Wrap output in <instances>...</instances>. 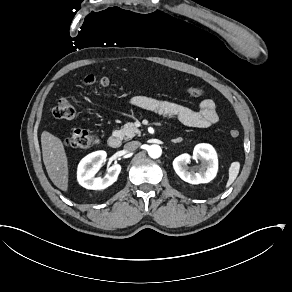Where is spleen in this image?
Returning <instances> with one entry per match:
<instances>
[{"label": "spleen", "instance_id": "1", "mask_svg": "<svg viewBox=\"0 0 292 292\" xmlns=\"http://www.w3.org/2000/svg\"><path fill=\"white\" fill-rule=\"evenodd\" d=\"M240 169V163L239 162H233L231 163V166L229 168V179L227 181V187H229L237 178L238 173Z\"/></svg>", "mask_w": 292, "mask_h": 292}]
</instances>
